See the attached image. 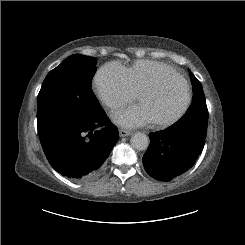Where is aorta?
<instances>
[{
	"label": "aorta",
	"instance_id": "obj_1",
	"mask_svg": "<svg viewBox=\"0 0 245 245\" xmlns=\"http://www.w3.org/2000/svg\"><path fill=\"white\" fill-rule=\"evenodd\" d=\"M131 143L133 148L137 150H146L149 146L150 140L146 134L137 132L132 136Z\"/></svg>",
	"mask_w": 245,
	"mask_h": 245
}]
</instances>
